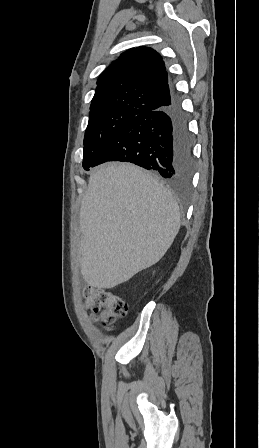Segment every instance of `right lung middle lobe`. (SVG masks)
I'll return each mask as SVG.
<instances>
[{"label": "right lung middle lobe", "mask_w": 259, "mask_h": 448, "mask_svg": "<svg viewBox=\"0 0 259 448\" xmlns=\"http://www.w3.org/2000/svg\"><path fill=\"white\" fill-rule=\"evenodd\" d=\"M138 115V112L90 113L84 137L83 168L88 171L115 136Z\"/></svg>", "instance_id": "obj_1"}]
</instances>
